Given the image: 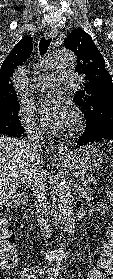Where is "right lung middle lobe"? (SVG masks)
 I'll return each instance as SVG.
<instances>
[{
  "label": "right lung middle lobe",
  "mask_w": 113,
  "mask_h": 279,
  "mask_svg": "<svg viewBox=\"0 0 113 279\" xmlns=\"http://www.w3.org/2000/svg\"><path fill=\"white\" fill-rule=\"evenodd\" d=\"M19 109L18 102L0 109V134L22 128L18 117Z\"/></svg>",
  "instance_id": "obj_1"
}]
</instances>
